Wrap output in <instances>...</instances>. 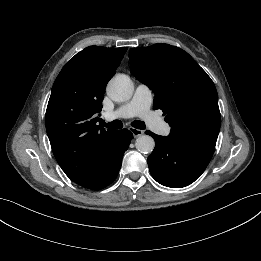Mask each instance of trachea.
Here are the masks:
<instances>
[{
	"label": "trachea",
	"mask_w": 261,
	"mask_h": 261,
	"mask_svg": "<svg viewBox=\"0 0 261 261\" xmlns=\"http://www.w3.org/2000/svg\"><path fill=\"white\" fill-rule=\"evenodd\" d=\"M101 125L103 127L109 129H121L123 128V123L120 120H114L110 123H105V121L101 120ZM131 125L136 129H145V123L139 120H135L131 123Z\"/></svg>",
	"instance_id": "trachea-1"
}]
</instances>
